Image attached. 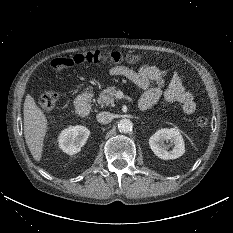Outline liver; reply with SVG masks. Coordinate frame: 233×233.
Segmentation results:
<instances>
[{"instance_id": "1", "label": "liver", "mask_w": 233, "mask_h": 233, "mask_svg": "<svg viewBox=\"0 0 233 233\" xmlns=\"http://www.w3.org/2000/svg\"><path fill=\"white\" fill-rule=\"evenodd\" d=\"M23 115L26 144L33 158L39 162L42 157L43 141L47 132V119L30 94H27L25 98Z\"/></svg>"}]
</instances>
